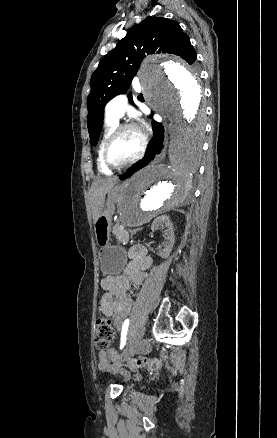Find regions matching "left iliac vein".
Listing matches in <instances>:
<instances>
[{"label":"left iliac vein","instance_id":"left-iliac-vein-1","mask_svg":"<svg viewBox=\"0 0 277 438\" xmlns=\"http://www.w3.org/2000/svg\"><path fill=\"white\" fill-rule=\"evenodd\" d=\"M146 331V327L145 325L142 326L138 333L136 334V336L134 337V339H132L126 346V348L124 349V351L122 352L119 361L117 362H123L124 360H126L129 356H131V354L133 353L134 349L137 347V345L140 343L141 339L143 338L144 334Z\"/></svg>","mask_w":277,"mask_h":438}]
</instances>
